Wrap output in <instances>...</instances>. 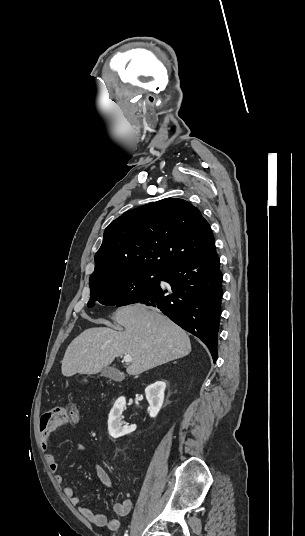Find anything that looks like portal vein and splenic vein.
Returning <instances> with one entry per match:
<instances>
[{
  "mask_svg": "<svg viewBox=\"0 0 305 536\" xmlns=\"http://www.w3.org/2000/svg\"><path fill=\"white\" fill-rule=\"evenodd\" d=\"M122 362H126V364H129V362H133L132 356H129V354H125Z\"/></svg>",
  "mask_w": 305,
  "mask_h": 536,
  "instance_id": "18ae733b",
  "label": "portal vein and splenic vein"
}]
</instances>
